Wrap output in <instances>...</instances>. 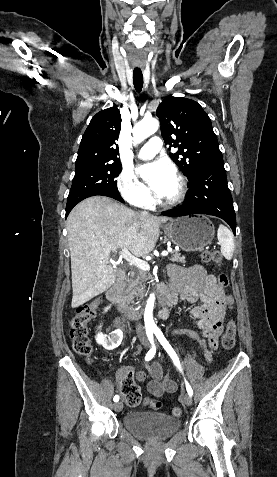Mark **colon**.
I'll use <instances>...</instances> for the list:
<instances>
[{"instance_id": "obj_1", "label": "colon", "mask_w": 277, "mask_h": 477, "mask_svg": "<svg viewBox=\"0 0 277 477\" xmlns=\"http://www.w3.org/2000/svg\"><path fill=\"white\" fill-rule=\"evenodd\" d=\"M201 259L204 263H211L216 267L223 265V257L218 251L204 250L201 253ZM219 283L226 287L229 279L226 274L218 276ZM236 297L233 292L227 293L225 300V310L232 312ZM100 303V298H97L89 303H85L77 308L76 315L72 320L70 336L72 339L73 349L79 355L86 357L89 361L92 360L93 347L88 336V324L96 316V311ZM236 327L233 321H229L222 337V346L224 349H232L235 345ZM121 393L129 406L135 407L142 402L139 387L132 381L126 380L121 385ZM149 406L153 410H159L162 403L159 400H150ZM174 416H180L181 408L174 407L172 409Z\"/></svg>"}]
</instances>
